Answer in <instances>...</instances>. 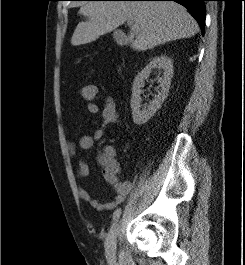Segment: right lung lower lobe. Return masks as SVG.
<instances>
[{"instance_id": "obj_1", "label": "right lung lower lobe", "mask_w": 245, "mask_h": 265, "mask_svg": "<svg viewBox=\"0 0 245 265\" xmlns=\"http://www.w3.org/2000/svg\"><path fill=\"white\" fill-rule=\"evenodd\" d=\"M123 1H175L186 7L191 15L199 23L201 32L204 34L205 28V4L206 0H123Z\"/></svg>"}]
</instances>
